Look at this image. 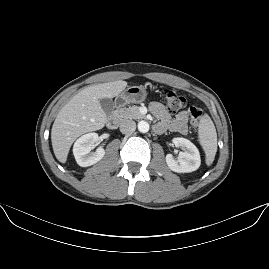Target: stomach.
Segmentation results:
<instances>
[{
	"label": "stomach",
	"mask_w": 269,
	"mask_h": 269,
	"mask_svg": "<svg viewBox=\"0 0 269 269\" xmlns=\"http://www.w3.org/2000/svg\"><path fill=\"white\" fill-rule=\"evenodd\" d=\"M145 97V90L140 86H133L123 90L116 98L119 107L129 103H139Z\"/></svg>",
	"instance_id": "stomach-1"
}]
</instances>
